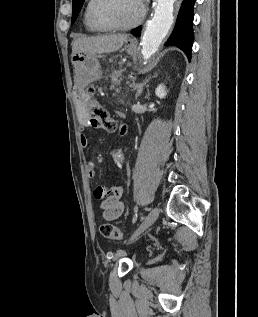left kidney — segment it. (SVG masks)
I'll return each instance as SVG.
<instances>
[{"label":"left kidney","instance_id":"left-kidney-1","mask_svg":"<svg viewBox=\"0 0 258 317\" xmlns=\"http://www.w3.org/2000/svg\"><path fill=\"white\" fill-rule=\"evenodd\" d=\"M167 92H168V90H166L164 84H158V86L155 90V94H156V96H159V98H165Z\"/></svg>","mask_w":258,"mask_h":317}]
</instances>
